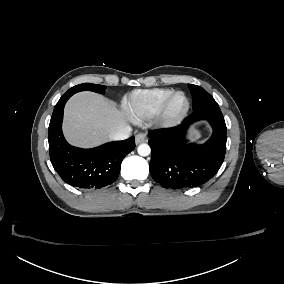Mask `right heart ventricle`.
I'll return each instance as SVG.
<instances>
[{
	"label": "right heart ventricle",
	"instance_id": "right-heart-ventricle-1",
	"mask_svg": "<svg viewBox=\"0 0 284 284\" xmlns=\"http://www.w3.org/2000/svg\"><path fill=\"white\" fill-rule=\"evenodd\" d=\"M173 91L166 87L131 91L123 97V112L132 121L150 119L162 100Z\"/></svg>",
	"mask_w": 284,
	"mask_h": 284
}]
</instances>
